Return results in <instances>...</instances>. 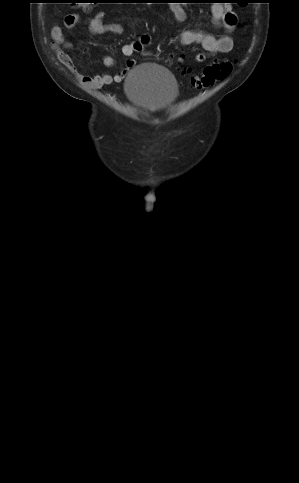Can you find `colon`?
Here are the masks:
<instances>
[{
	"instance_id": "colon-1",
	"label": "colon",
	"mask_w": 299,
	"mask_h": 483,
	"mask_svg": "<svg viewBox=\"0 0 299 483\" xmlns=\"http://www.w3.org/2000/svg\"><path fill=\"white\" fill-rule=\"evenodd\" d=\"M87 3V2H81ZM84 5V4H82ZM233 64L231 61L215 62L208 65L202 75H191V83L196 88L208 87L215 82L223 80L232 71Z\"/></svg>"
}]
</instances>
